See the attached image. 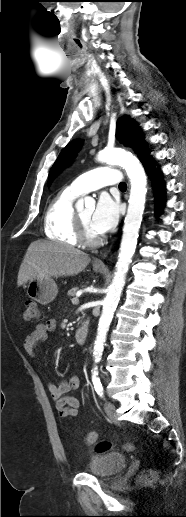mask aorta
<instances>
[{
	"label": "aorta",
	"mask_w": 186,
	"mask_h": 517,
	"mask_svg": "<svg viewBox=\"0 0 186 517\" xmlns=\"http://www.w3.org/2000/svg\"><path fill=\"white\" fill-rule=\"evenodd\" d=\"M97 160L100 162L115 163L123 167L130 180L131 189L118 261L112 283L103 301V309L94 343L93 356L95 362H99L101 359L107 332L125 284L126 273L131 258L136 249L147 193V178L144 168L132 153L122 149L107 148L99 152ZM88 200L89 198H85V201ZM83 201V199L80 200L79 204H83Z\"/></svg>",
	"instance_id": "762f6f07"
}]
</instances>
